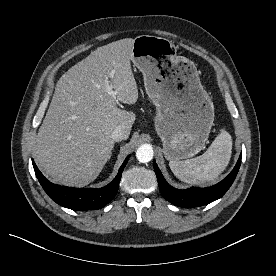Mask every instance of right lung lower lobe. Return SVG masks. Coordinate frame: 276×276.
I'll return each instance as SVG.
<instances>
[{"mask_svg": "<svg viewBox=\"0 0 276 276\" xmlns=\"http://www.w3.org/2000/svg\"><path fill=\"white\" fill-rule=\"evenodd\" d=\"M129 156L121 165L117 176L107 186L95 188H71L59 186L49 182L39 171L32 160L35 174L49 197L57 204L77 211L100 209L108 204L116 195L122 171L127 164Z\"/></svg>", "mask_w": 276, "mask_h": 276, "instance_id": "98d812e1", "label": "right lung lower lobe"}]
</instances>
